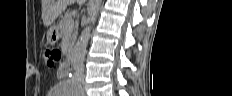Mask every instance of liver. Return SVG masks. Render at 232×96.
Masks as SVG:
<instances>
[{"label": "liver", "mask_w": 232, "mask_h": 96, "mask_svg": "<svg viewBox=\"0 0 232 96\" xmlns=\"http://www.w3.org/2000/svg\"><path fill=\"white\" fill-rule=\"evenodd\" d=\"M73 0H42V20L45 27L51 26ZM82 3L83 0H78Z\"/></svg>", "instance_id": "obj_1"}]
</instances>
